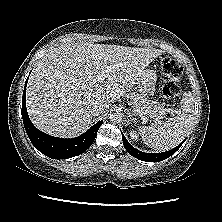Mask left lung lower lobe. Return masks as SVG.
Here are the masks:
<instances>
[{
	"label": "left lung lower lobe",
	"mask_w": 222,
	"mask_h": 222,
	"mask_svg": "<svg viewBox=\"0 0 222 222\" xmlns=\"http://www.w3.org/2000/svg\"><path fill=\"white\" fill-rule=\"evenodd\" d=\"M122 140H123V145L125 147V149L128 151V153H130L133 157H136L142 161H146V162H159L162 160L167 159L168 157H170L172 154H174L182 145V142L180 145H178L177 147H175L172 150H169L167 152H162V153H144L141 152L137 149H135L134 147H132L129 142L126 140L125 136L122 134Z\"/></svg>",
	"instance_id": "0a47b994"
}]
</instances>
